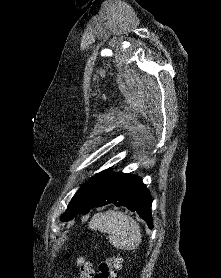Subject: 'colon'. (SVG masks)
Listing matches in <instances>:
<instances>
[{
  "instance_id": "5ec220e1",
  "label": "colon",
  "mask_w": 221,
  "mask_h": 278,
  "mask_svg": "<svg viewBox=\"0 0 221 278\" xmlns=\"http://www.w3.org/2000/svg\"><path fill=\"white\" fill-rule=\"evenodd\" d=\"M77 263L80 266L81 278H118L117 271L121 267V257L108 256L99 264L97 271L83 259H79Z\"/></svg>"
}]
</instances>
